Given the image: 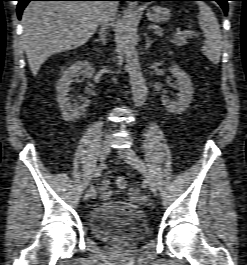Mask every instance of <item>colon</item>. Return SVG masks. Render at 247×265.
<instances>
[{
  "label": "colon",
  "mask_w": 247,
  "mask_h": 265,
  "mask_svg": "<svg viewBox=\"0 0 247 265\" xmlns=\"http://www.w3.org/2000/svg\"><path fill=\"white\" fill-rule=\"evenodd\" d=\"M116 185L119 189H125L127 187V180L124 177H119L116 180Z\"/></svg>",
  "instance_id": "5ec220e1"
}]
</instances>
